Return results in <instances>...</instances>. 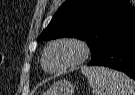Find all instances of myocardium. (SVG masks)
<instances>
[{"instance_id":"obj_1","label":"myocardium","mask_w":135,"mask_h":95,"mask_svg":"<svg viewBox=\"0 0 135 95\" xmlns=\"http://www.w3.org/2000/svg\"><path fill=\"white\" fill-rule=\"evenodd\" d=\"M61 44H68V45H72L74 46L77 51H78V56L77 58L70 64L59 68V69H49L46 66V58L49 54V52L56 46L61 45ZM90 54V49L88 47V45L86 44V42H84L83 40L76 38V37H63V38H59L55 41H53L45 50L43 57H42V66L43 68L51 73H61L64 71H67L69 69L75 68L76 66L80 65L81 63H83L89 56Z\"/></svg>"}]
</instances>
